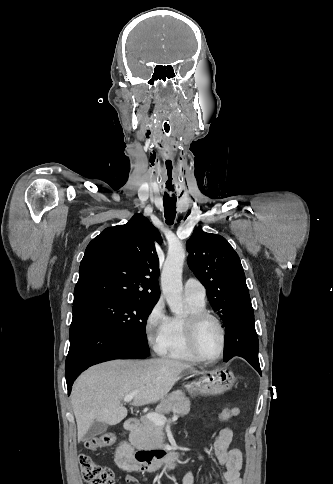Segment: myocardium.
Masks as SVG:
<instances>
[{"label":"myocardium","mask_w":333,"mask_h":484,"mask_svg":"<svg viewBox=\"0 0 333 484\" xmlns=\"http://www.w3.org/2000/svg\"><path fill=\"white\" fill-rule=\"evenodd\" d=\"M211 320L213 321L219 331H220V336H221V345L218 354L214 358H206L204 357L199 349H198V344H197V336H198V331L200 326L202 325L203 322ZM186 338L188 342V346L193 353V355L201 362L204 363H214L218 361L224 354L225 348H226V331L224 328V325L220 321V319L215 316L214 314L208 312V311H201V312H195L190 315H188L186 319Z\"/></svg>","instance_id":"myocardium-1"}]
</instances>
